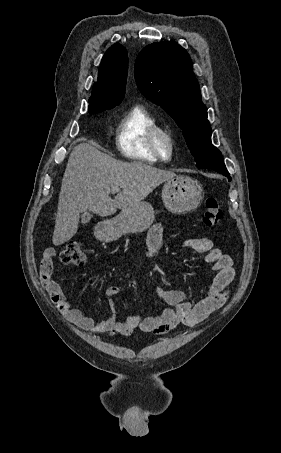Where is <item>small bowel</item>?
Returning a JSON list of instances; mask_svg holds the SVG:
<instances>
[{"label":"small bowel","mask_w":281,"mask_h":453,"mask_svg":"<svg viewBox=\"0 0 281 453\" xmlns=\"http://www.w3.org/2000/svg\"><path fill=\"white\" fill-rule=\"evenodd\" d=\"M162 225L154 224L147 234L146 255L152 259L157 256L162 245ZM184 246L194 253L206 254V260L216 272V278L210 292L190 302L186 293L180 289H164L155 286V295L163 303L172 308L165 309L157 317H141L133 315L124 321H118L115 296L121 292L118 285H110L104 291L105 298L110 303L111 312L105 318H95L85 314L78 308L72 307L67 300L62 287L52 279L54 250H47L41 257L40 278L52 296L60 304L66 318L83 330L91 334L108 333L110 336H130L135 330H141L155 335H164L180 324L194 326L199 324L209 313L221 308L227 301L229 286L235 278V269L230 256L222 254L212 247L208 238L187 239ZM169 275L175 277L178 271L169 270Z\"/></svg>","instance_id":"small-bowel-1"}]
</instances>
